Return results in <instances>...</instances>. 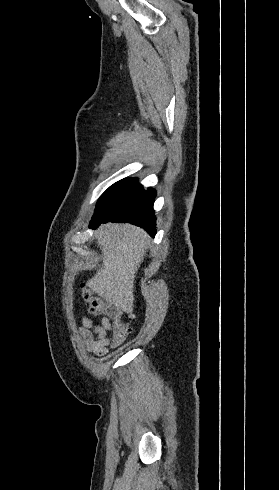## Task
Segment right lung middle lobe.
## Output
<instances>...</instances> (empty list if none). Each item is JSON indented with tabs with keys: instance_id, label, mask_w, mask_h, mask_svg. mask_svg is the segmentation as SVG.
I'll use <instances>...</instances> for the list:
<instances>
[{
	"instance_id": "right-lung-middle-lobe-1",
	"label": "right lung middle lobe",
	"mask_w": 279,
	"mask_h": 490,
	"mask_svg": "<svg viewBox=\"0 0 279 490\" xmlns=\"http://www.w3.org/2000/svg\"><path fill=\"white\" fill-rule=\"evenodd\" d=\"M139 185L137 178L123 179L110 186L99 198L93 219L106 213L110 201L121 192ZM92 219V220H93Z\"/></svg>"
}]
</instances>
